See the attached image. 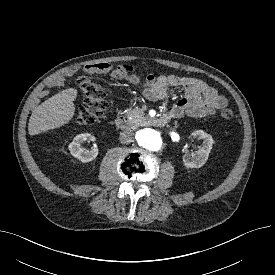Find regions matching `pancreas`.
I'll return each mask as SVG.
<instances>
[{"label": "pancreas", "instance_id": "pancreas-1", "mask_svg": "<svg viewBox=\"0 0 275 275\" xmlns=\"http://www.w3.org/2000/svg\"><path fill=\"white\" fill-rule=\"evenodd\" d=\"M125 115L128 119H130L133 123L139 122L140 119L144 117V112L142 109L134 108L132 110H127Z\"/></svg>", "mask_w": 275, "mask_h": 275}]
</instances>
